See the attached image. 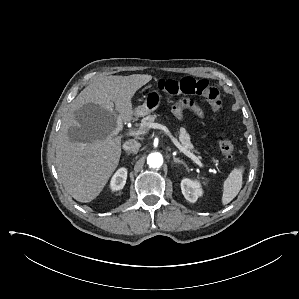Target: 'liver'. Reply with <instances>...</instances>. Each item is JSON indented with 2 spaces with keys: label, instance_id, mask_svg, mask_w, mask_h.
<instances>
[{
  "label": "liver",
  "instance_id": "1",
  "mask_svg": "<svg viewBox=\"0 0 299 299\" xmlns=\"http://www.w3.org/2000/svg\"><path fill=\"white\" fill-rule=\"evenodd\" d=\"M151 79L148 74L100 77L73 100L60 129L56 166L75 200L91 202L107 184L121 155L122 135L114 134L117 119L133 120L131 100Z\"/></svg>",
  "mask_w": 299,
  "mask_h": 299
}]
</instances>
